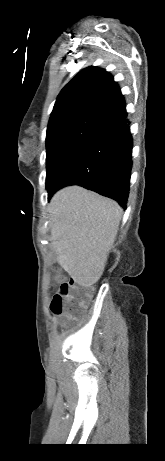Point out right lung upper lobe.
Instances as JSON below:
<instances>
[{"instance_id":"cb5924a9","label":"right lung upper lobe","mask_w":165,"mask_h":461,"mask_svg":"<svg viewBox=\"0 0 165 461\" xmlns=\"http://www.w3.org/2000/svg\"><path fill=\"white\" fill-rule=\"evenodd\" d=\"M117 82L98 67L80 71L60 92L49 123L61 118L94 115L105 121L126 110Z\"/></svg>"}]
</instances>
